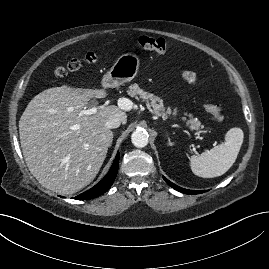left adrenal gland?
I'll return each mask as SVG.
<instances>
[{
	"instance_id": "obj_1",
	"label": "left adrenal gland",
	"mask_w": 269,
	"mask_h": 269,
	"mask_svg": "<svg viewBox=\"0 0 269 269\" xmlns=\"http://www.w3.org/2000/svg\"><path fill=\"white\" fill-rule=\"evenodd\" d=\"M168 144L169 145H173V143L171 142L170 138L168 137Z\"/></svg>"
}]
</instances>
